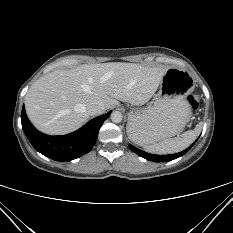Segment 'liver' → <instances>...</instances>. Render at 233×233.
<instances>
[{"label":"liver","mask_w":233,"mask_h":233,"mask_svg":"<svg viewBox=\"0 0 233 233\" xmlns=\"http://www.w3.org/2000/svg\"><path fill=\"white\" fill-rule=\"evenodd\" d=\"M169 67L110 62L54 70L28 90L25 109L40 131L62 135L82 127L90 118L87 105L102 102L111 109L119 101L134 105L148 102ZM104 76H108L103 80Z\"/></svg>","instance_id":"6515ba94"}]
</instances>
